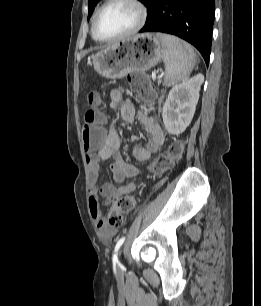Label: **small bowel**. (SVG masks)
Returning <instances> with one entry per match:
<instances>
[{"instance_id": "c3829d8e", "label": "small bowel", "mask_w": 261, "mask_h": 306, "mask_svg": "<svg viewBox=\"0 0 261 306\" xmlns=\"http://www.w3.org/2000/svg\"><path fill=\"white\" fill-rule=\"evenodd\" d=\"M109 107L111 109L120 107L123 120L130 123H140L148 134L149 139L145 146L135 145L132 148V156L136 160L146 161L161 149L165 140L161 127L151 116L138 112L135 104L124 98L122 89L118 88L110 92ZM120 147L121 136L114 127H110L103 146L97 152L86 155L89 174L90 215L100 234L107 239L114 237L117 230L106 221L100 206V199L102 198L106 202L114 201L121 196L135 192L137 189L135 182H129L116 188L110 182L99 181L100 163L110 159L112 160L110 170L115 182L121 183L137 175L136 167L123 159Z\"/></svg>"}]
</instances>
